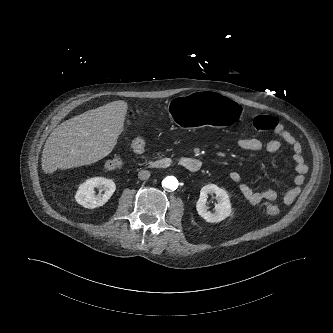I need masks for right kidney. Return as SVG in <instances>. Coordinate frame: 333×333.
Returning <instances> with one entry per match:
<instances>
[{
  "label": "right kidney",
  "mask_w": 333,
  "mask_h": 333,
  "mask_svg": "<svg viewBox=\"0 0 333 333\" xmlns=\"http://www.w3.org/2000/svg\"><path fill=\"white\" fill-rule=\"evenodd\" d=\"M101 188L105 191L102 195H95V188ZM116 190L113 180L104 177H93L82 183L75 195L77 203L85 208L93 209L104 205Z\"/></svg>",
  "instance_id": "right-kidney-1"
}]
</instances>
